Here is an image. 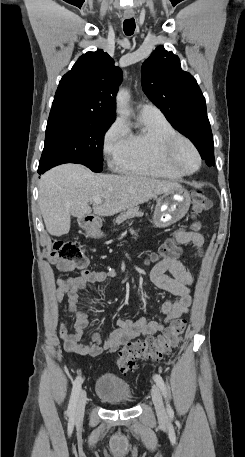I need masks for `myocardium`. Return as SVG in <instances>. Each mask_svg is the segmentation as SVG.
I'll return each instance as SVG.
<instances>
[{
  "mask_svg": "<svg viewBox=\"0 0 245 457\" xmlns=\"http://www.w3.org/2000/svg\"><path fill=\"white\" fill-rule=\"evenodd\" d=\"M185 143L191 153L196 159V166L190 171L183 170L182 168L176 166L170 160L169 156L174 151V149L180 144ZM149 151L148 155L152 162L167 171L175 173L180 176L191 175L195 173L201 166V156L197 149L195 148L193 142L186 136L177 134L168 138L164 143L157 137H151L148 141Z\"/></svg>",
  "mask_w": 245,
  "mask_h": 457,
  "instance_id": "1",
  "label": "myocardium"
}]
</instances>
